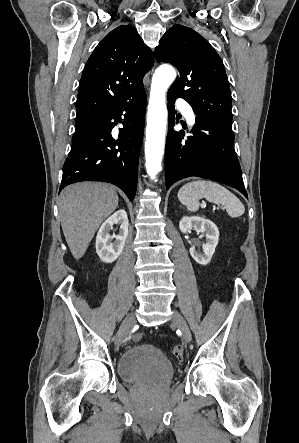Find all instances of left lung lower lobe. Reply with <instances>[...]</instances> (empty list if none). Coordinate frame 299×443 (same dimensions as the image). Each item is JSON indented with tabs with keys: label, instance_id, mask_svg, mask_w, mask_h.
I'll return each instance as SVG.
<instances>
[{
	"label": "left lung lower lobe",
	"instance_id": "0a47b994",
	"mask_svg": "<svg viewBox=\"0 0 299 443\" xmlns=\"http://www.w3.org/2000/svg\"><path fill=\"white\" fill-rule=\"evenodd\" d=\"M169 134L165 148L166 188L189 176L219 181L239 190L245 197L242 172L234 150V133L231 128L197 116L191 136L184 139V131L176 132L174 101L168 94Z\"/></svg>",
	"mask_w": 299,
	"mask_h": 443
}]
</instances>
